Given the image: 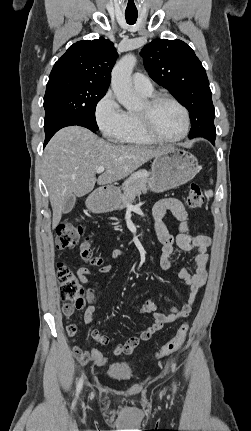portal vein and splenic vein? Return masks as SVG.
I'll use <instances>...</instances> for the list:
<instances>
[{
    "instance_id": "portal-vein-and-splenic-vein-1",
    "label": "portal vein and splenic vein",
    "mask_w": 251,
    "mask_h": 431,
    "mask_svg": "<svg viewBox=\"0 0 251 431\" xmlns=\"http://www.w3.org/2000/svg\"><path fill=\"white\" fill-rule=\"evenodd\" d=\"M104 167H98L97 169H96V173H103L104 172Z\"/></svg>"
}]
</instances>
